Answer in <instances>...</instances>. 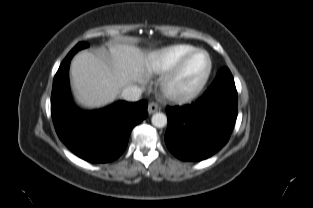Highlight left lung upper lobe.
<instances>
[{
	"instance_id": "obj_1",
	"label": "left lung upper lobe",
	"mask_w": 313,
	"mask_h": 208,
	"mask_svg": "<svg viewBox=\"0 0 313 208\" xmlns=\"http://www.w3.org/2000/svg\"><path fill=\"white\" fill-rule=\"evenodd\" d=\"M216 78L225 79V80L234 82L231 72L226 67L218 71Z\"/></svg>"
}]
</instances>
